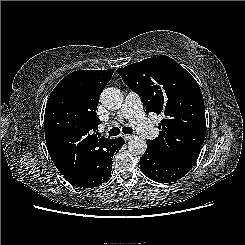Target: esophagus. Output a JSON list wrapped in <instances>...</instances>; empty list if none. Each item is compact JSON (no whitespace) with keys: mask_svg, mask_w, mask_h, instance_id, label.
I'll list each match as a JSON object with an SVG mask.
<instances>
[{"mask_svg":"<svg viewBox=\"0 0 245 245\" xmlns=\"http://www.w3.org/2000/svg\"><path fill=\"white\" fill-rule=\"evenodd\" d=\"M125 141L131 140L135 137V135H123Z\"/></svg>","mask_w":245,"mask_h":245,"instance_id":"obj_1","label":"esophagus"}]
</instances>
